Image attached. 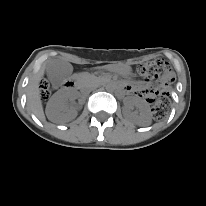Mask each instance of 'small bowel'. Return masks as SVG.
<instances>
[{
  "label": "small bowel",
  "instance_id": "small-bowel-1",
  "mask_svg": "<svg viewBox=\"0 0 206 206\" xmlns=\"http://www.w3.org/2000/svg\"><path fill=\"white\" fill-rule=\"evenodd\" d=\"M127 90H130V87H126Z\"/></svg>",
  "mask_w": 206,
  "mask_h": 206
}]
</instances>
